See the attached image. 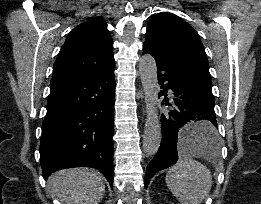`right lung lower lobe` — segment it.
Wrapping results in <instances>:
<instances>
[{"instance_id":"right-lung-lower-lobe-1","label":"right lung lower lobe","mask_w":261,"mask_h":204,"mask_svg":"<svg viewBox=\"0 0 261 204\" xmlns=\"http://www.w3.org/2000/svg\"><path fill=\"white\" fill-rule=\"evenodd\" d=\"M114 68L51 85L40 143L45 179L56 170L92 167L112 188Z\"/></svg>"}]
</instances>
